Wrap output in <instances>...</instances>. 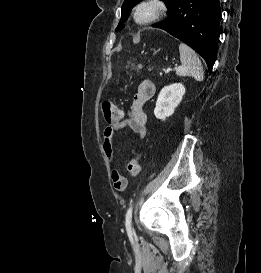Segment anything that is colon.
Listing matches in <instances>:
<instances>
[{
  "instance_id": "1",
  "label": "colon",
  "mask_w": 261,
  "mask_h": 273,
  "mask_svg": "<svg viewBox=\"0 0 261 273\" xmlns=\"http://www.w3.org/2000/svg\"><path fill=\"white\" fill-rule=\"evenodd\" d=\"M137 68V67H135ZM103 115L106 122L114 124L117 123L122 115L120 107L111 100L104 101L102 104ZM141 171L140 157L136 156L131 159L126 167V172L130 177H136ZM116 187L119 190L125 188V183L123 180L119 179L116 183Z\"/></svg>"
}]
</instances>
